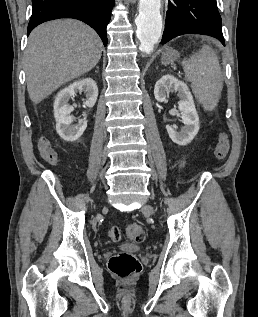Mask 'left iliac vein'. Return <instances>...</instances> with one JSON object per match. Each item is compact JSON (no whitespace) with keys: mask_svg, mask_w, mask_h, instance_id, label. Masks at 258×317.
Masks as SVG:
<instances>
[{"mask_svg":"<svg viewBox=\"0 0 258 317\" xmlns=\"http://www.w3.org/2000/svg\"><path fill=\"white\" fill-rule=\"evenodd\" d=\"M143 212L144 213H149V212H151L150 214L152 215L153 213H152V211L154 210L150 205H145L144 207H143Z\"/></svg>","mask_w":258,"mask_h":317,"instance_id":"obj_1","label":"left iliac vein"}]
</instances>
